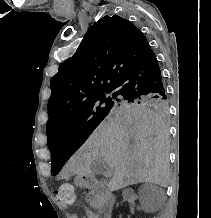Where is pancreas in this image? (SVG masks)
<instances>
[{
  "label": "pancreas",
  "mask_w": 211,
  "mask_h": 218,
  "mask_svg": "<svg viewBox=\"0 0 211 218\" xmlns=\"http://www.w3.org/2000/svg\"><path fill=\"white\" fill-rule=\"evenodd\" d=\"M88 202L92 208H98L100 205H110L113 201L109 199L108 190H92Z\"/></svg>",
  "instance_id": "pancreas-1"
}]
</instances>
